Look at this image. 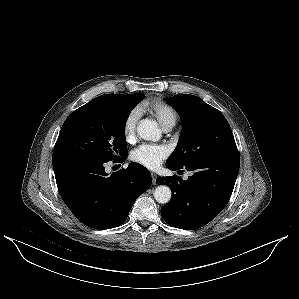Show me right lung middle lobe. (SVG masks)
Listing matches in <instances>:
<instances>
[{
  "mask_svg": "<svg viewBox=\"0 0 299 299\" xmlns=\"http://www.w3.org/2000/svg\"><path fill=\"white\" fill-rule=\"evenodd\" d=\"M140 94H106L75 110L65 120L54 151L71 150L112 161L127 154L125 124Z\"/></svg>",
  "mask_w": 299,
  "mask_h": 299,
  "instance_id": "1",
  "label": "right lung middle lobe"
}]
</instances>
